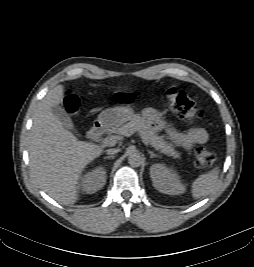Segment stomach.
I'll return each instance as SVG.
<instances>
[{"instance_id":"0dacf381","label":"stomach","mask_w":254,"mask_h":267,"mask_svg":"<svg viewBox=\"0 0 254 267\" xmlns=\"http://www.w3.org/2000/svg\"><path fill=\"white\" fill-rule=\"evenodd\" d=\"M135 117L130 107H114L103 110L98 115V123L105 128H116Z\"/></svg>"}]
</instances>
